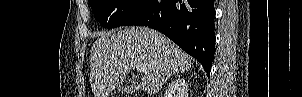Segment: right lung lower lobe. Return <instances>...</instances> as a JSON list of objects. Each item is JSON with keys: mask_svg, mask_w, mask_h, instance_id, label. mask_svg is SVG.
<instances>
[{"mask_svg": "<svg viewBox=\"0 0 302 97\" xmlns=\"http://www.w3.org/2000/svg\"><path fill=\"white\" fill-rule=\"evenodd\" d=\"M214 0H145L121 26L157 29L196 58L210 75L215 52Z\"/></svg>", "mask_w": 302, "mask_h": 97, "instance_id": "98d812e1", "label": "right lung lower lobe"}]
</instances>
